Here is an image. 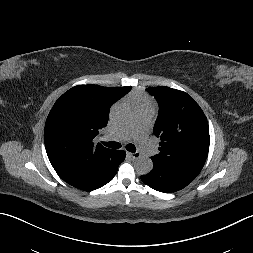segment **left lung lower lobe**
<instances>
[{"label":"left lung lower lobe","mask_w":253,"mask_h":253,"mask_svg":"<svg viewBox=\"0 0 253 253\" xmlns=\"http://www.w3.org/2000/svg\"><path fill=\"white\" fill-rule=\"evenodd\" d=\"M194 179V176L187 173L156 164L149 174L141 176L146 185L164 193L181 190Z\"/></svg>","instance_id":"left-lung-lower-lobe-1"}]
</instances>
